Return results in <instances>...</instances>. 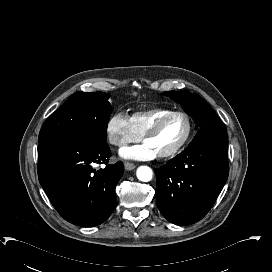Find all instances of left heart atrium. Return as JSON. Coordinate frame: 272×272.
Listing matches in <instances>:
<instances>
[{"mask_svg": "<svg viewBox=\"0 0 272 272\" xmlns=\"http://www.w3.org/2000/svg\"><path fill=\"white\" fill-rule=\"evenodd\" d=\"M122 156L135 160H151L158 155L154 147L145 141L140 145L122 150Z\"/></svg>", "mask_w": 272, "mask_h": 272, "instance_id": "left-heart-atrium-1", "label": "left heart atrium"}]
</instances>
